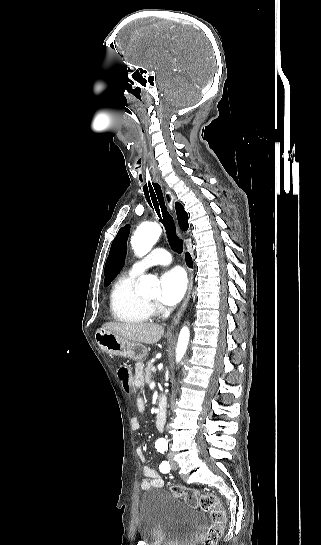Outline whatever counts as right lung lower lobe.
Listing matches in <instances>:
<instances>
[{
    "instance_id": "1",
    "label": "right lung lower lobe",
    "mask_w": 321,
    "mask_h": 545,
    "mask_svg": "<svg viewBox=\"0 0 321 545\" xmlns=\"http://www.w3.org/2000/svg\"><path fill=\"white\" fill-rule=\"evenodd\" d=\"M186 263L189 267H192V259L189 253H186Z\"/></svg>"
}]
</instances>
